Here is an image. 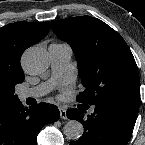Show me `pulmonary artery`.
I'll list each match as a JSON object with an SVG mask.
<instances>
[{
	"label": "pulmonary artery",
	"mask_w": 145,
	"mask_h": 145,
	"mask_svg": "<svg viewBox=\"0 0 145 145\" xmlns=\"http://www.w3.org/2000/svg\"><path fill=\"white\" fill-rule=\"evenodd\" d=\"M51 67L52 78L45 83L32 88L23 89L19 93L20 100L24 101L28 98H40L51 91L55 81L60 78L66 71L67 65L72 56V49L67 44L53 43L48 48Z\"/></svg>",
	"instance_id": "1"
}]
</instances>
